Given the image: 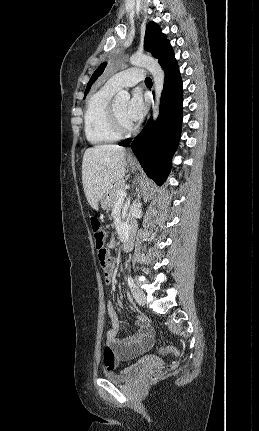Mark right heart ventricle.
Here are the masks:
<instances>
[{"label":"right heart ventricle","mask_w":259,"mask_h":431,"mask_svg":"<svg viewBox=\"0 0 259 431\" xmlns=\"http://www.w3.org/2000/svg\"><path fill=\"white\" fill-rule=\"evenodd\" d=\"M115 92V89L105 85L88 99L84 113V132L92 145H105L120 137L112 130L109 122V106Z\"/></svg>","instance_id":"right-heart-ventricle-1"}]
</instances>
